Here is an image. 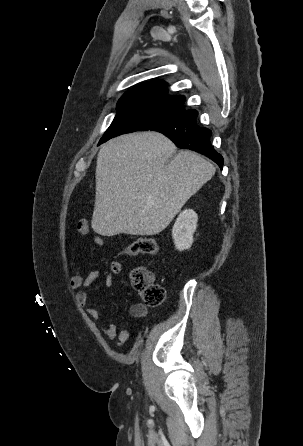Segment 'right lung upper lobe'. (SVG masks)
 Here are the masks:
<instances>
[{"label":"right lung upper lobe","instance_id":"right-lung-upper-lobe-1","mask_svg":"<svg viewBox=\"0 0 303 446\" xmlns=\"http://www.w3.org/2000/svg\"><path fill=\"white\" fill-rule=\"evenodd\" d=\"M166 83L162 80H153L142 83L127 91L118 101L121 107H141L151 110L164 109L172 99L183 96H170L164 90Z\"/></svg>","mask_w":303,"mask_h":446}]
</instances>
